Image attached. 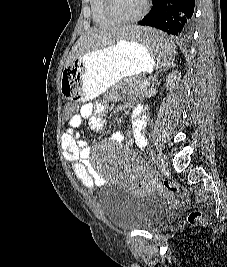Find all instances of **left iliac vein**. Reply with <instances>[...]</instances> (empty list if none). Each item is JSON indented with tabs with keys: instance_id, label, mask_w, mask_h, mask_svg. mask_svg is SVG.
<instances>
[{
	"instance_id": "obj_1",
	"label": "left iliac vein",
	"mask_w": 227,
	"mask_h": 267,
	"mask_svg": "<svg viewBox=\"0 0 227 267\" xmlns=\"http://www.w3.org/2000/svg\"><path fill=\"white\" fill-rule=\"evenodd\" d=\"M156 164H157L158 169L160 171L166 170V168H167V158H166V156L162 152H160L157 155Z\"/></svg>"
}]
</instances>
